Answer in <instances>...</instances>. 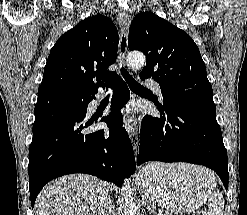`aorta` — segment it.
<instances>
[{
  "label": "aorta",
  "mask_w": 247,
  "mask_h": 215,
  "mask_svg": "<svg viewBox=\"0 0 247 215\" xmlns=\"http://www.w3.org/2000/svg\"><path fill=\"white\" fill-rule=\"evenodd\" d=\"M145 61V55L140 52H132L127 56V63L132 68L138 69L143 67ZM122 192L125 199L123 215H138L137 207L133 201V197H131V186L128 179L124 182Z\"/></svg>",
  "instance_id": "aorta-1"
}]
</instances>
